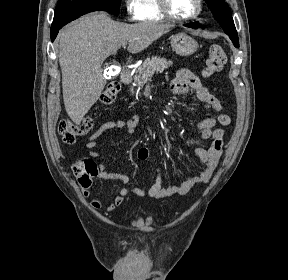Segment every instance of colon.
Here are the masks:
<instances>
[{
  "instance_id": "5ec220e1",
  "label": "colon",
  "mask_w": 288,
  "mask_h": 280,
  "mask_svg": "<svg viewBox=\"0 0 288 280\" xmlns=\"http://www.w3.org/2000/svg\"><path fill=\"white\" fill-rule=\"evenodd\" d=\"M225 62L226 54L223 48L218 44L211 45L205 61L204 75L211 77L220 72ZM119 91L120 85L118 82L109 83L100 96V103L104 106L112 105L116 101ZM92 126L93 122L89 117L83 119L80 123H74L69 119H64L59 123L58 132L63 142L72 144L77 137L86 135L92 129ZM72 170L78 183L83 188H89L91 186L92 179L98 172L96 163L89 159L77 160L72 165Z\"/></svg>"
}]
</instances>
